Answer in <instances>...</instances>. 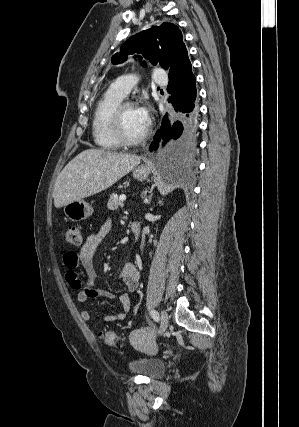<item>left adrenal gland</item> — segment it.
Instances as JSON below:
<instances>
[{"label": "left adrenal gland", "instance_id": "obj_1", "mask_svg": "<svg viewBox=\"0 0 299 427\" xmlns=\"http://www.w3.org/2000/svg\"><path fill=\"white\" fill-rule=\"evenodd\" d=\"M151 197H152V195H150L148 199L146 198V203H147V204H150V202H151Z\"/></svg>", "mask_w": 299, "mask_h": 427}]
</instances>
